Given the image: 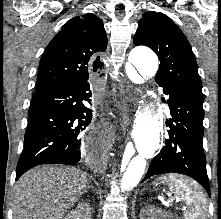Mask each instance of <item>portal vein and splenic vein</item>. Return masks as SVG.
Returning a JSON list of instances; mask_svg holds the SVG:
<instances>
[{"instance_id":"obj_1","label":"portal vein and splenic vein","mask_w":221,"mask_h":219,"mask_svg":"<svg viewBox=\"0 0 221 219\" xmlns=\"http://www.w3.org/2000/svg\"><path fill=\"white\" fill-rule=\"evenodd\" d=\"M168 203H172V200H169Z\"/></svg>"}]
</instances>
